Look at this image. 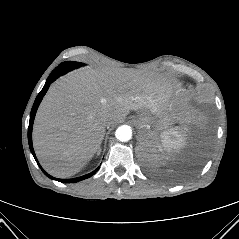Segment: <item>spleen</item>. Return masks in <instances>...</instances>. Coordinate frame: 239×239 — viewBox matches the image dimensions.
I'll use <instances>...</instances> for the list:
<instances>
[{"label": "spleen", "instance_id": "spleen-1", "mask_svg": "<svg viewBox=\"0 0 239 239\" xmlns=\"http://www.w3.org/2000/svg\"><path fill=\"white\" fill-rule=\"evenodd\" d=\"M185 128H171L162 132L159 136L158 147L160 150L172 152L179 150L185 144Z\"/></svg>", "mask_w": 239, "mask_h": 239}]
</instances>
